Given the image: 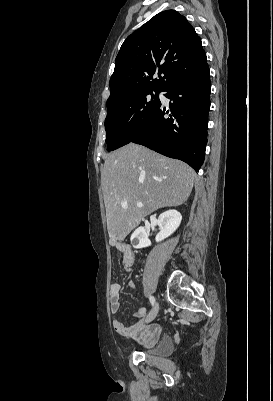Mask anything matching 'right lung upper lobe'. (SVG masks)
<instances>
[{
  "label": "right lung upper lobe",
  "mask_w": 273,
  "mask_h": 401,
  "mask_svg": "<svg viewBox=\"0 0 273 401\" xmlns=\"http://www.w3.org/2000/svg\"><path fill=\"white\" fill-rule=\"evenodd\" d=\"M205 62L201 39L186 18L175 10L160 12L122 44L107 106L142 91L162 90L181 69ZM155 73L159 79H153Z\"/></svg>",
  "instance_id": "cb5924a9"
}]
</instances>
